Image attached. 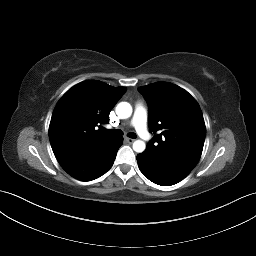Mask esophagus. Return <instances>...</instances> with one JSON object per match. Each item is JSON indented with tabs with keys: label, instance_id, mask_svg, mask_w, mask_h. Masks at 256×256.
<instances>
[{
	"label": "esophagus",
	"instance_id": "34e87169",
	"mask_svg": "<svg viewBox=\"0 0 256 256\" xmlns=\"http://www.w3.org/2000/svg\"><path fill=\"white\" fill-rule=\"evenodd\" d=\"M125 141L129 144L133 143L134 142V139L132 138H125Z\"/></svg>",
	"mask_w": 256,
	"mask_h": 256
}]
</instances>
